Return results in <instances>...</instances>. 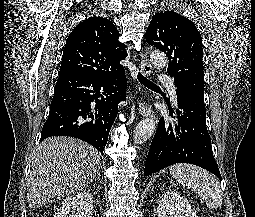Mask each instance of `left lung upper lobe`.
<instances>
[{"mask_svg": "<svg viewBox=\"0 0 255 217\" xmlns=\"http://www.w3.org/2000/svg\"><path fill=\"white\" fill-rule=\"evenodd\" d=\"M149 45L166 53L176 86L204 96L202 38L195 24L173 12L156 13L146 30Z\"/></svg>", "mask_w": 255, "mask_h": 217, "instance_id": "obj_1", "label": "left lung upper lobe"}]
</instances>
